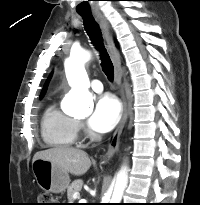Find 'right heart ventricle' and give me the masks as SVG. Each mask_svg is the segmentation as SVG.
<instances>
[{"mask_svg": "<svg viewBox=\"0 0 200 205\" xmlns=\"http://www.w3.org/2000/svg\"><path fill=\"white\" fill-rule=\"evenodd\" d=\"M77 121L61 111L52 102L43 111L41 117V136L49 147H72L77 139Z\"/></svg>", "mask_w": 200, "mask_h": 205, "instance_id": "e07e8e85", "label": "right heart ventricle"}]
</instances>
